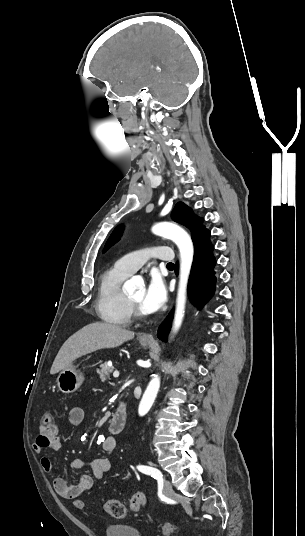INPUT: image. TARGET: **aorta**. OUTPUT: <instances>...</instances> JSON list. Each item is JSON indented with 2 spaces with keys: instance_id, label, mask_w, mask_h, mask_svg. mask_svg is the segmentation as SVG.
Wrapping results in <instances>:
<instances>
[{
  "instance_id": "aorta-1",
  "label": "aorta",
  "mask_w": 305,
  "mask_h": 536,
  "mask_svg": "<svg viewBox=\"0 0 305 536\" xmlns=\"http://www.w3.org/2000/svg\"><path fill=\"white\" fill-rule=\"evenodd\" d=\"M152 232L156 235L171 239L177 245L180 253V280L173 323V333H176L184 318L187 283L193 262L194 246L190 235L176 224L161 222L152 227ZM138 283V279L132 278L125 283V288L127 290L134 289ZM159 388L160 377L158 375H153L139 404L138 413L140 416L148 413L155 401Z\"/></svg>"
}]
</instances>
